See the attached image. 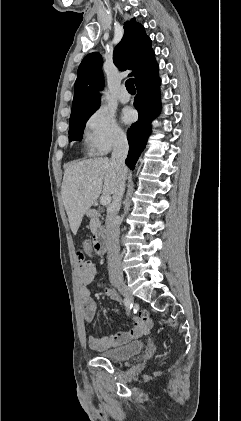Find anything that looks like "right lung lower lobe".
<instances>
[{"label": "right lung lower lobe", "instance_id": "obj_1", "mask_svg": "<svg viewBox=\"0 0 241 421\" xmlns=\"http://www.w3.org/2000/svg\"><path fill=\"white\" fill-rule=\"evenodd\" d=\"M135 85L138 93L134 100V106L138 110L139 118L127 132L129 152L125 160L126 165L132 170L145 148L151 132V121L160 111V79L155 60L136 79Z\"/></svg>", "mask_w": 241, "mask_h": 421}]
</instances>
